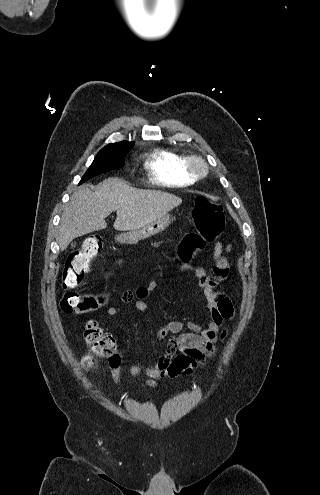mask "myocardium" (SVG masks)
Instances as JSON below:
<instances>
[{
  "label": "myocardium",
  "instance_id": "1",
  "mask_svg": "<svg viewBox=\"0 0 320 495\" xmlns=\"http://www.w3.org/2000/svg\"><path fill=\"white\" fill-rule=\"evenodd\" d=\"M186 170L195 178L203 177L207 174L209 166L200 155L193 154L186 157Z\"/></svg>",
  "mask_w": 320,
  "mask_h": 495
}]
</instances>
